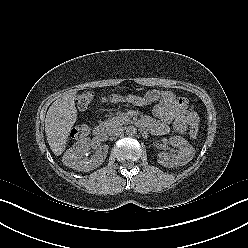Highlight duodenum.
Listing matches in <instances>:
<instances>
[{
	"label": "duodenum",
	"mask_w": 248,
	"mask_h": 248,
	"mask_svg": "<svg viewBox=\"0 0 248 248\" xmlns=\"http://www.w3.org/2000/svg\"><path fill=\"white\" fill-rule=\"evenodd\" d=\"M94 133L97 137L104 139L107 134V127L104 123H100L95 127Z\"/></svg>",
	"instance_id": "1"
}]
</instances>
